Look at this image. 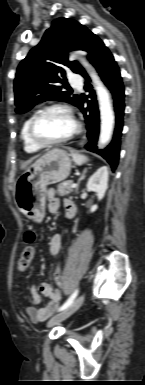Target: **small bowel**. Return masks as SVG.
I'll return each instance as SVG.
<instances>
[{
  "label": "small bowel",
  "mask_w": 145,
  "mask_h": 385,
  "mask_svg": "<svg viewBox=\"0 0 145 385\" xmlns=\"http://www.w3.org/2000/svg\"><path fill=\"white\" fill-rule=\"evenodd\" d=\"M63 206L66 210V214L68 211H70L72 213V216L75 215L76 206L73 202L69 200H65L63 202ZM60 207H61L60 200L56 198L54 196V192L50 190L48 193L49 212L57 213ZM60 249H61V235L56 233L52 236L50 241V252L53 255H56L59 253ZM54 277L58 287L62 288L63 282H62L61 272L59 269L55 271ZM42 296L48 297L50 300L46 306L42 308H36V305H38L41 302ZM62 299H63V296L60 290L53 288L47 282L40 281L31 287V301H30V305L25 307V311L33 322L44 321L56 310L58 303Z\"/></svg>",
  "instance_id": "obj_1"
}]
</instances>
